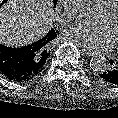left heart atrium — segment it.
<instances>
[{
    "label": "left heart atrium",
    "instance_id": "obj_1",
    "mask_svg": "<svg viewBox=\"0 0 118 118\" xmlns=\"http://www.w3.org/2000/svg\"><path fill=\"white\" fill-rule=\"evenodd\" d=\"M67 40L86 50L102 51L113 45L112 38L106 28L98 24L79 22L64 30Z\"/></svg>",
    "mask_w": 118,
    "mask_h": 118
}]
</instances>
